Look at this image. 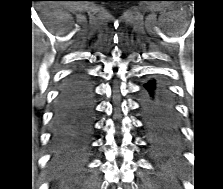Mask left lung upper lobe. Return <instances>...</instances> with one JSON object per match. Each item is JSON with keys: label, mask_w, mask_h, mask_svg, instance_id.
Returning <instances> with one entry per match:
<instances>
[{"label": "left lung upper lobe", "mask_w": 223, "mask_h": 189, "mask_svg": "<svg viewBox=\"0 0 223 189\" xmlns=\"http://www.w3.org/2000/svg\"><path fill=\"white\" fill-rule=\"evenodd\" d=\"M148 132L150 133V139L152 144L158 149H165L172 146L175 135L164 129L163 127L155 125H146Z\"/></svg>", "instance_id": "1"}]
</instances>
